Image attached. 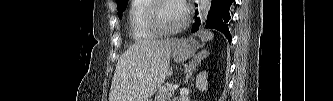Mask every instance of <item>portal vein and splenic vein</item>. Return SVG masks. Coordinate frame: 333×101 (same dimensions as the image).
Segmentation results:
<instances>
[{"label":"portal vein and splenic vein","instance_id":"portal-vein-and-splenic-vein-1","mask_svg":"<svg viewBox=\"0 0 333 101\" xmlns=\"http://www.w3.org/2000/svg\"><path fill=\"white\" fill-rule=\"evenodd\" d=\"M178 87H179V85H173V86L170 85V86H168L167 89H168L169 91H174V90H176Z\"/></svg>","mask_w":333,"mask_h":101}]
</instances>
